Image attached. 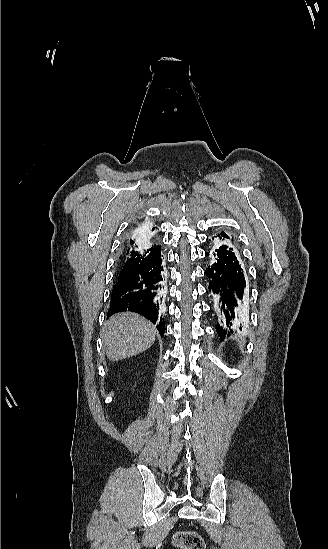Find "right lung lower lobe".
<instances>
[{"label":"right lung lower lobe","mask_w":328,"mask_h":549,"mask_svg":"<svg viewBox=\"0 0 328 549\" xmlns=\"http://www.w3.org/2000/svg\"><path fill=\"white\" fill-rule=\"evenodd\" d=\"M126 244L127 239L124 241L123 247ZM163 268L160 252L159 255L143 263L133 273L118 278L112 290L107 317L125 311L141 314L156 324L160 335L163 336L165 322L160 313L165 280Z\"/></svg>","instance_id":"1"}]
</instances>
